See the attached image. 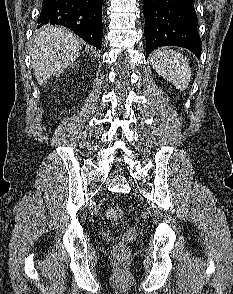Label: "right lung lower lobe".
Returning a JSON list of instances; mask_svg holds the SVG:
<instances>
[{"instance_id":"right-lung-lower-lobe-1","label":"right lung lower lobe","mask_w":233,"mask_h":294,"mask_svg":"<svg viewBox=\"0 0 233 294\" xmlns=\"http://www.w3.org/2000/svg\"><path fill=\"white\" fill-rule=\"evenodd\" d=\"M103 0H44L38 27H68L90 45L101 49Z\"/></svg>"}]
</instances>
